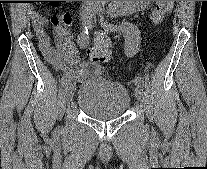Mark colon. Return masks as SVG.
I'll list each match as a JSON object with an SVG mask.
<instances>
[{
    "label": "colon",
    "mask_w": 207,
    "mask_h": 169,
    "mask_svg": "<svg viewBox=\"0 0 207 169\" xmlns=\"http://www.w3.org/2000/svg\"><path fill=\"white\" fill-rule=\"evenodd\" d=\"M174 1H156L151 14L154 23L161 22L172 10ZM89 57L95 63H106L111 57V42L105 33H98L89 50Z\"/></svg>",
    "instance_id": "5ec220e1"
}]
</instances>
